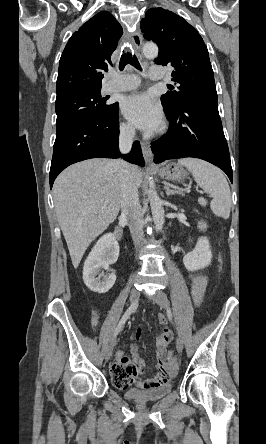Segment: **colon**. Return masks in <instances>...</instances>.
I'll use <instances>...</instances> for the list:
<instances>
[{"label":"colon","instance_id":"5ec220e1","mask_svg":"<svg viewBox=\"0 0 266 444\" xmlns=\"http://www.w3.org/2000/svg\"><path fill=\"white\" fill-rule=\"evenodd\" d=\"M223 268L222 257L219 258L218 272L221 273ZM167 363L172 372L176 371V357L172 351H169L167 354Z\"/></svg>","mask_w":266,"mask_h":444}]
</instances>
